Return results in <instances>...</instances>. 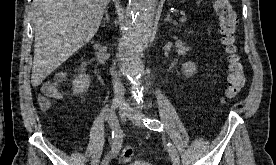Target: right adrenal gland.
I'll return each instance as SVG.
<instances>
[{
    "instance_id": "obj_1",
    "label": "right adrenal gland",
    "mask_w": 276,
    "mask_h": 165,
    "mask_svg": "<svg viewBox=\"0 0 276 165\" xmlns=\"http://www.w3.org/2000/svg\"><path fill=\"white\" fill-rule=\"evenodd\" d=\"M104 14H105V16H104V18L102 19L103 25H105L106 22L110 21V18H109V15H108V7L105 9Z\"/></svg>"
}]
</instances>
